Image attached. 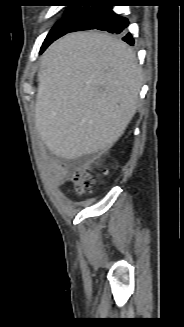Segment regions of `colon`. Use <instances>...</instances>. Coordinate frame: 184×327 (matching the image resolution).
Masks as SVG:
<instances>
[{"mask_svg":"<svg viewBox=\"0 0 184 327\" xmlns=\"http://www.w3.org/2000/svg\"><path fill=\"white\" fill-rule=\"evenodd\" d=\"M104 174V170H95V168L91 165L77 171L74 174V186L76 191L79 194H84L90 191L95 183L96 177Z\"/></svg>","mask_w":184,"mask_h":327,"instance_id":"5ec220e1","label":"colon"}]
</instances>
